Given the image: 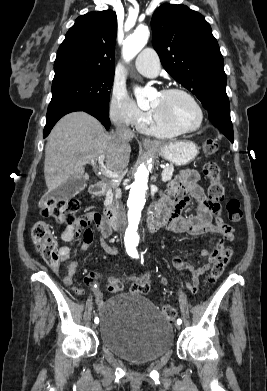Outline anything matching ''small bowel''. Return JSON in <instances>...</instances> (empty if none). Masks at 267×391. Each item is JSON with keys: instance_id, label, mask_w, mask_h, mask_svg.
<instances>
[{"instance_id": "obj_1", "label": "small bowel", "mask_w": 267, "mask_h": 391, "mask_svg": "<svg viewBox=\"0 0 267 391\" xmlns=\"http://www.w3.org/2000/svg\"><path fill=\"white\" fill-rule=\"evenodd\" d=\"M191 200H195L197 203L196 214L191 217H183L182 211L190 204ZM220 210V205L211 201L205 195L199 185V174L195 170L184 171L173 180L159 204L158 211L164 215L165 225L170 233H185L193 236L204 233L221 235L215 246L201 251L200 256L206 262L201 263L197 267L185 261L179 254L175 253L173 255L172 262L174 267L178 270L187 271L190 274V278L185 286L191 293L198 291L200 277L210 268V264L217 260L224 250L225 242H230L234 239V229L225 224L219 217ZM86 216L89 217L88 221L66 226L61 233V240L65 243H71L79 235L80 231L86 228L81 250H88L93 240V231L88 226L90 223L95 222L101 233L103 248L107 253L115 255L117 249L107 242L111 234L110 226L98 214H87ZM59 254L61 263L65 267L64 282L70 285L77 273L79 262L71 260V249L69 246L60 247ZM99 277L98 273L90 272L85 275L84 281L88 286H93ZM160 280L163 284L167 283L164 276H160ZM76 292L81 293L80 289H76ZM93 292L96 302L101 305L103 303L102 293L96 288H93Z\"/></svg>"}]
</instances>
